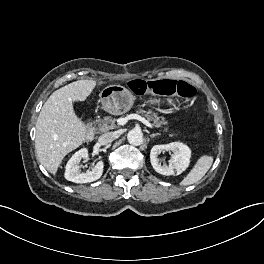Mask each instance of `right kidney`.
<instances>
[{
  "instance_id": "obj_1",
  "label": "right kidney",
  "mask_w": 264,
  "mask_h": 264,
  "mask_svg": "<svg viewBox=\"0 0 264 264\" xmlns=\"http://www.w3.org/2000/svg\"><path fill=\"white\" fill-rule=\"evenodd\" d=\"M88 156L89 154L86 148H82L73 154L67 162L65 168V178L68 181H72L74 183H90L98 180L102 176L104 168L103 161L97 162L91 171L81 172V166L79 165L80 161L81 159H87Z\"/></svg>"
}]
</instances>
